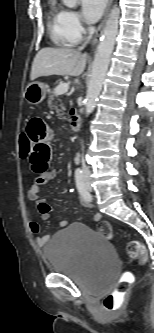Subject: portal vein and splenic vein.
<instances>
[{"label": "portal vein and splenic vein", "instance_id": "18ae733b", "mask_svg": "<svg viewBox=\"0 0 154 333\" xmlns=\"http://www.w3.org/2000/svg\"><path fill=\"white\" fill-rule=\"evenodd\" d=\"M69 89V83H61L55 88L56 95H62L66 93Z\"/></svg>", "mask_w": 154, "mask_h": 333}]
</instances>
